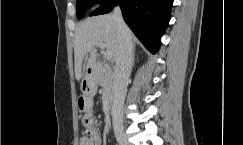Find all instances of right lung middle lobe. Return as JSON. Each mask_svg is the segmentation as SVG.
Here are the masks:
<instances>
[{
	"label": "right lung middle lobe",
	"mask_w": 243,
	"mask_h": 145,
	"mask_svg": "<svg viewBox=\"0 0 243 145\" xmlns=\"http://www.w3.org/2000/svg\"><path fill=\"white\" fill-rule=\"evenodd\" d=\"M103 0H101V3ZM93 0H76V13L80 19L84 16L86 10L92 6Z\"/></svg>",
	"instance_id": "obj_1"
}]
</instances>
